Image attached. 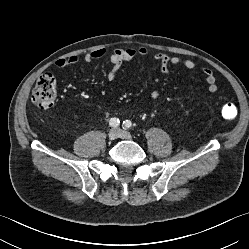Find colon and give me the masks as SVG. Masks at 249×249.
Segmentation results:
<instances>
[{
	"instance_id": "obj_1",
	"label": "colon",
	"mask_w": 249,
	"mask_h": 249,
	"mask_svg": "<svg viewBox=\"0 0 249 249\" xmlns=\"http://www.w3.org/2000/svg\"><path fill=\"white\" fill-rule=\"evenodd\" d=\"M56 98V80L50 73L43 74L37 81L32 91L34 105L42 110L53 106ZM236 115V108L232 104L224 105L222 116L225 119H232Z\"/></svg>"
}]
</instances>
